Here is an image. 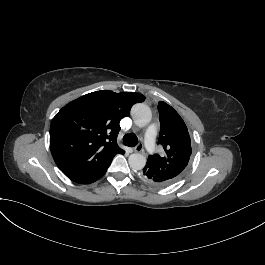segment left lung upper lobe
I'll list each match as a JSON object with an SVG mask.
<instances>
[{
    "instance_id": "left-lung-upper-lobe-1",
    "label": "left lung upper lobe",
    "mask_w": 265,
    "mask_h": 265,
    "mask_svg": "<svg viewBox=\"0 0 265 265\" xmlns=\"http://www.w3.org/2000/svg\"><path fill=\"white\" fill-rule=\"evenodd\" d=\"M160 135L158 143L165 154L150 155L143 168L160 186L174 183L183 174L192 153L187 127L180 115L167 103H158Z\"/></svg>"
}]
</instances>
